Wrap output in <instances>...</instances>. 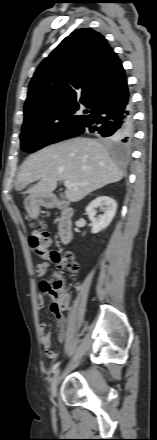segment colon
Returning <instances> with one entry per match:
<instances>
[{
  "instance_id": "obj_1",
  "label": "colon",
  "mask_w": 157,
  "mask_h": 440,
  "mask_svg": "<svg viewBox=\"0 0 157 440\" xmlns=\"http://www.w3.org/2000/svg\"><path fill=\"white\" fill-rule=\"evenodd\" d=\"M29 243L36 254L45 260L52 261L60 270H67L72 274L78 272L79 266L71 254L61 255L57 251L49 250L50 237L43 225H39L32 231L29 237ZM42 289L52 302V308H67L69 296L64 288V282L60 274H57L53 281L44 282Z\"/></svg>"
}]
</instances>
